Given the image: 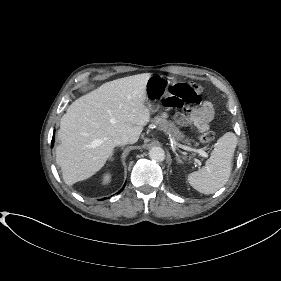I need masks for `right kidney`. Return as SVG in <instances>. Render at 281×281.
<instances>
[{"label":"right kidney","instance_id":"right-kidney-1","mask_svg":"<svg viewBox=\"0 0 281 281\" xmlns=\"http://www.w3.org/2000/svg\"><path fill=\"white\" fill-rule=\"evenodd\" d=\"M110 181V176L109 175H105L103 178V182L104 183H108Z\"/></svg>","mask_w":281,"mask_h":281}]
</instances>
